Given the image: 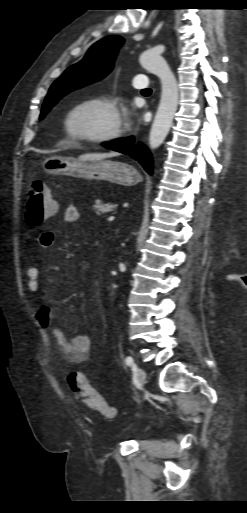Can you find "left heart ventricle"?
Instances as JSON below:
<instances>
[{
    "mask_svg": "<svg viewBox=\"0 0 247 513\" xmlns=\"http://www.w3.org/2000/svg\"><path fill=\"white\" fill-rule=\"evenodd\" d=\"M115 123L114 112L101 106L82 108L72 118V127L75 131L93 135L111 130Z\"/></svg>",
    "mask_w": 247,
    "mask_h": 513,
    "instance_id": "1",
    "label": "left heart ventricle"
}]
</instances>
